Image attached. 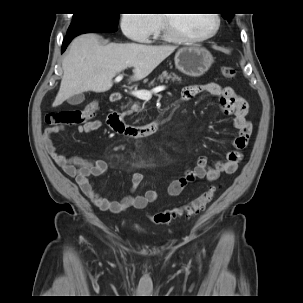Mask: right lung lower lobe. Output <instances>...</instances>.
I'll return each mask as SVG.
<instances>
[{"label":"right lung lower lobe","mask_w":303,"mask_h":303,"mask_svg":"<svg viewBox=\"0 0 303 303\" xmlns=\"http://www.w3.org/2000/svg\"><path fill=\"white\" fill-rule=\"evenodd\" d=\"M116 30H117V27H115V26H94V27L85 28V29H83L79 32L67 34V36L63 40L61 53H63L65 51V49L67 48L68 44L72 41V39L75 38L76 36L80 35V34H84V33H109V32H115Z\"/></svg>","instance_id":"1"}]
</instances>
